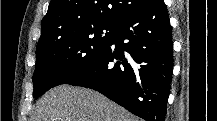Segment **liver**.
I'll return each mask as SVG.
<instances>
[{
	"label": "liver",
	"instance_id": "liver-1",
	"mask_svg": "<svg viewBox=\"0 0 217 121\" xmlns=\"http://www.w3.org/2000/svg\"><path fill=\"white\" fill-rule=\"evenodd\" d=\"M33 121H136L123 107L82 87L60 85L36 103Z\"/></svg>",
	"mask_w": 217,
	"mask_h": 121
}]
</instances>
